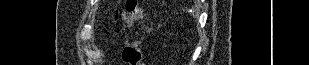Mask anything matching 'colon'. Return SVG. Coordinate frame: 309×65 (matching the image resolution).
Returning <instances> with one entry per match:
<instances>
[{
	"label": "colon",
	"mask_w": 309,
	"mask_h": 65,
	"mask_svg": "<svg viewBox=\"0 0 309 65\" xmlns=\"http://www.w3.org/2000/svg\"><path fill=\"white\" fill-rule=\"evenodd\" d=\"M145 17V9L135 0L128 1L125 9L116 15V19L122 21L125 25L133 24L145 19ZM150 30L140 39L131 41L125 46L122 53L123 63L125 65H140L142 60L141 49Z\"/></svg>",
	"instance_id": "obj_1"
}]
</instances>
